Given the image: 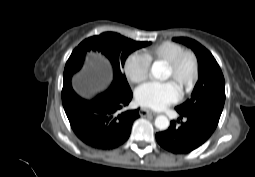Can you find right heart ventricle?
I'll list each match as a JSON object with an SVG mask.
<instances>
[{"mask_svg": "<svg viewBox=\"0 0 255 177\" xmlns=\"http://www.w3.org/2000/svg\"><path fill=\"white\" fill-rule=\"evenodd\" d=\"M184 50V47L178 43L171 41L161 42L144 51V55L149 62L167 63L172 60L177 54Z\"/></svg>", "mask_w": 255, "mask_h": 177, "instance_id": "1", "label": "right heart ventricle"}]
</instances>
